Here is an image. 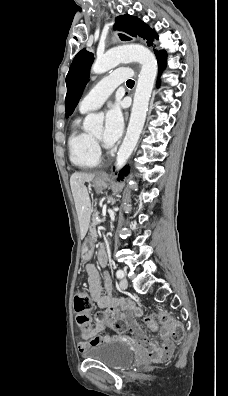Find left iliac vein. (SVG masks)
Returning a JSON list of instances; mask_svg holds the SVG:
<instances>
[{
    "instance_id": "obj_1",
    "label": "left iliac vein",
    "mask_w": 228,
    "mask_h": 396,
    "mask_svg": "<svg viewBox=\"0 0 228 396\" xmlns=\"http://www.w3.org/2000/svg\"><path fill=\"white\" fill-rule=\"evenodd\" d=\"M120 287L121 289H127L128 287V281L126 278H122L120 281Z\"/></svg>"
}]
</instances>
